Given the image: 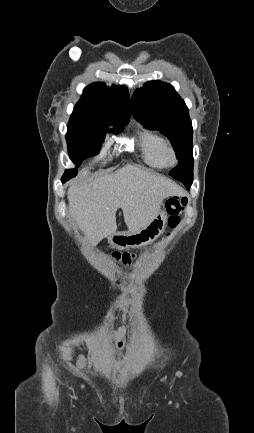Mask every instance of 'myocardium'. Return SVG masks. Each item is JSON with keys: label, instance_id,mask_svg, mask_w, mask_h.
Returning a JSON list of instances; mask_svg holds the SVG:
<instances>
[{"label": "myocardium", "instance_id": "obj_1", "mask_svg": "<svg viewBox=\"0 0 254 433\" xmlns=\"http://www.w3.org/2000/svg\"><path fill=\"white\" fill-rule=\"evenodd\" d=\"M162 158H163L165 164L168 166H175L178 164L177 153H176L175 149L173 148V146L170 144L166 143L164 145V147L162 149Z\"/></svg>", "mask_w": 254, "mask_h": 433}]
</instances>
